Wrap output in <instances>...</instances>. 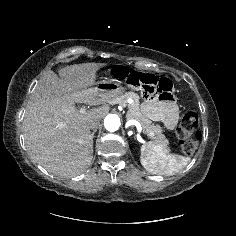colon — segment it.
Segmentation results:
<instances>
[{
    "label": "colon",
    "mask_w": 236,
    "mask_h": 236,
    "mask_svg": "<svg viewBox=\"0 0 236 236\" xmlns=\"http://www.w3.org/2000/svg\"><path fill=\"white\" fill-rule=\"evenodd\" d=\"M114 77L127 82L130 85L143 83L146 93L156 92L161 95H169L172 90V83L168 79H158L153 76H143L135 71H129L123 66H117L112 70ZM199 116L196 111H188L177 126L175 132L179 140L182 152L191 155L200 141L201 134L197 129Z\"/></svg>",
    "instance_id": "obj_1"
}]
</instances>
